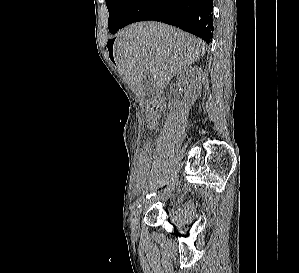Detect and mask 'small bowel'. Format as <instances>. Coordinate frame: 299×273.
Masks as SVG:
<instances>
[{
	"label": "small bowel",
	"mask_w": 299,
	"mask_h": 273,
	"mask_svg": "<svg viewBox=\"0 0 299 273\" xmlns=\"http://www.w3.org/2000/svg\"><path fill=\"white\" fill-rule=\"evenodd\" d=\"M160 116L155 108H149L146 113V123L149 129H156L159 124ZM152 162V151H145L142 149L139 158V168L135 178L133 192L134 194L142 193L147 186L148 177L147 172L150 169Z\"/></svg>",
	"instance_id": "obj_1"
}]
</instances>
